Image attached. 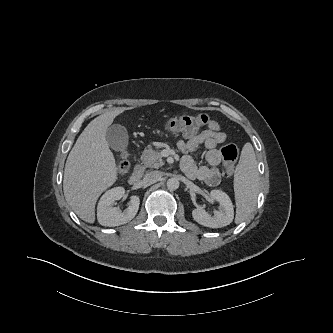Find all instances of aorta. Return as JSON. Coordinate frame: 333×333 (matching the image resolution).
<instances>
[{
	"label": "aorta",
	"instance_id": "obj_1",
	"mask_svg": "<svg viewBox=\"0 0 333 333\" xmlns=\"http://www.w3.org/2000/svg\"><path fill=\"white\" fill-rule=\"evenodd\" d=\"M167 188L171 191L177 190L179 188V181L177 178H170L167 180Z\"/></svg>",
	"mask_w": 333,
	"mask_h": 333
}]
</instances>
